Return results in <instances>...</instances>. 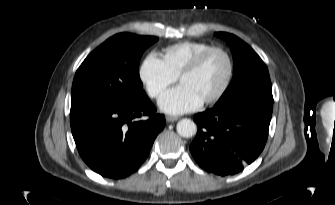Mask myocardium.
Here are the masks:
<instances>
[{
    "label": "myocardium",
    "mask_w": 335,
    "mask_h": 205,
    "mask_svg": "<svg viewBox=\"0 0 335 205\" xmlns=\"http://www.w3.org/2000/svg\"><path fill=\"white\" fill-rule=\"evenodd\" d=\"M215 52H219L225 56L228 63V72L220 89L213 96L203 101V103L207 105L218 102L226 94L231 85L235 71V65L231 54L223 47L211 46L201 52L178 76L179 81L181 82L185 76L195 73L202 67L206 59Z\"/></svg>",
    "instance_id": "1"
}]
</instances>
